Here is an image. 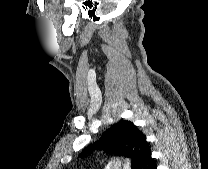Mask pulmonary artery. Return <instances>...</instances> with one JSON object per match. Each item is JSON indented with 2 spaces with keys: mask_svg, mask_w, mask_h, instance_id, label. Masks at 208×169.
<instances>
[{
  "mask_svg": "<svg viewBox=\"0 0 208 169\" xmlns=\"http://www.w3.org/2000/svg\"><path fill=\"white\" fill-rule=\"evenodd\" d=\"M129 169L128 166L123 167L119 160L113 162L112 166L109 169Z\"/></svg>",
  "mask_w": 208,
  "mask_h": 169,
  "instance_id": "pulmonary-artery-1",
  "label": "pulmonary artery"
}]
</instances>
